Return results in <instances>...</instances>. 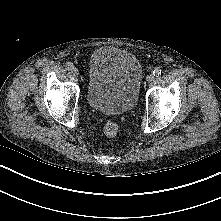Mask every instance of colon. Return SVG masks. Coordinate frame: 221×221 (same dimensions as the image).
Segmentation results:
<instances>
[{"mask_svg": "<svg viewBox=\"0 0 221 221\" xmlns=\"http://www.w3.org/2000/svg\"><path fill=\"white\" fill-rule=\"evenodd\" d=\"M119 127L114 121H107L103 127V133L108 138H113L118 134Z\"/></svg>", "mask_w": 221, "mask_h": 221, "instance_id": "colon-1", "label": "colon"}]
</instances>
